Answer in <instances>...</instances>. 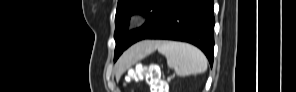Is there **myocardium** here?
<instances>
[{
  "mask_svg": "<svg viewBox=\"0 0 296 92\" xmlns=\"http://www.w3.org/2000/svg\"><path fill=\"white\" fill-rule=\"evenodd\" d=\"M141 15L139 13H136L131 16V22L138 23L141 20Z\"/></svg>",
  "mask_w": 296,
  "mask_h": 92,
  "instance_id": "f54148a6",
  "label": "myocardium"
}]
</instances>
